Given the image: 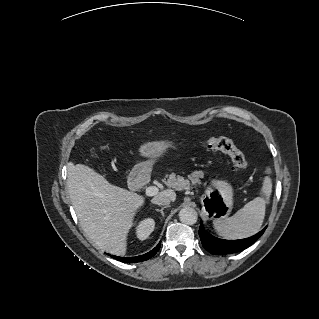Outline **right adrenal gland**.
I'll list each match as a JSON object with an SVG mask.
<instances>
[{
    "mask_svg": "<svg viewBox=\"0 0 319 319\" xmlns=\"http://www.w3.org/2000/svg\"><path fill=\"white\" fill-rule=\"evenodd\" d=\"M168 206H165V207H162L161 209H155L156 211H158V212H160L161 214H162V216H164V212H163V210L165 209V208H167Z\"/></svg>",
    "mask_w": 319,
    "mask_h": 319,
    "instance_id": "right-adrenal-gland-1",
    "label": "right adrenal gland"
}]
</instances>
